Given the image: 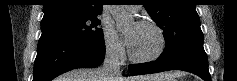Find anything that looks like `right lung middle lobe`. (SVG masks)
<instances>
[{
    "instance_id": "dd1d6c3e",
    "label": "right lung middle lobe",
    "mask_w": 237,
    "mask_h": 81,
    "mask_svg": "<svg viewBox=\"0 0 237 81\" xmlns=\"http://www.w3.org/2000/svg\"><path fill=\"white\" fill-rule=\"evenodd\" d=\"M99 24L97 15L54 16L42 19L41 36H58L84 42L103 41L102 29L97 28Z\"/></svg>"
}]
</instances>
